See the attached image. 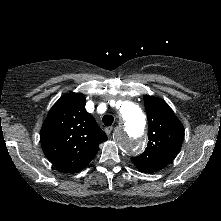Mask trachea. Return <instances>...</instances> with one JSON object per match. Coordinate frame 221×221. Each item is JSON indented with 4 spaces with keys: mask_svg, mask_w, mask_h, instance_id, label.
<instances>
[{
    "mask_svg": "<svg viewBox=\"0 0 221 221\" xmlns=\"http://www.w3.org/2000/svg\"><path fill=\"white\" fill-rule=\"evenodd\" d=\"M102 121H103L104 125L111 126L112 123L114 122V117L112 115H105L102 118Z\"/></svg>",
    "mask_w": 221,
    "mask_h": 221,
    "instance_id": "trachea-1",
    "label": "trachea"
}]
</instances>
